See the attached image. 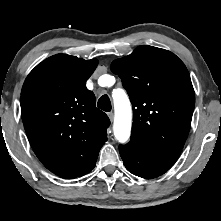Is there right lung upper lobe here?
<instances>
[{
	"label": "right lung upper lobe",
	"instance_id": "cb5924a9",
	"mask_svg": "<svg viewBox=\"0 0 221 221\" xmlns=\"http://www.w3.org/2000/svg\"><path fill=\"white\" fill-rule=\"evenodd\" d=\"M98 60L57 54L38 64L21 92V116L43 165L64 178L82 176L107 141L108 116L86 81Z\"/></svg>",
	"mask_w": 221,
	"mask_h": 221
}]
</instances>
